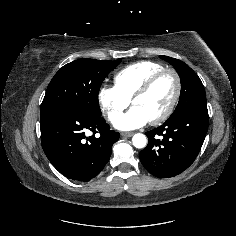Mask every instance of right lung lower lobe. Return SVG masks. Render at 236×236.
Here are the masks:
<instances>
[{
    "label": "right lung lower lobe",
    "mask_w": 236,
    "mask_h": 236,
    "mask_svg": "<svg viewBox=\"0 0 236 236\" xmlns=\"http://www.w3.org/2000/svg\"><path fill=\"white\" fill-rule=\"evenodd\" d=\"M40 128L49 161L64 176L78 181H89L104 168L120 137L101 116L68 106L40 114ZM88 130L93 133L89 137Z\"/></svg>",
    "instance_id": "right-lung-lower-lobe-1"
}]
</instances>
